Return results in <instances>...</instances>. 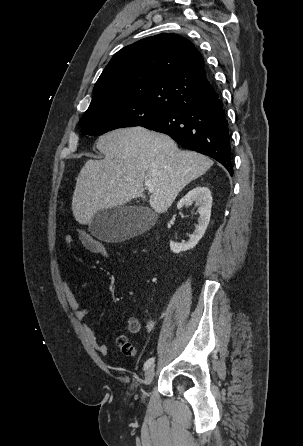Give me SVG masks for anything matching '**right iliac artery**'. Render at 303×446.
Here are the masks:
<instances>
[{"label": "right iliac artery", "instance_id": "1", "mask_svg": "<svg viewBox=\"0 0 303 446\" xmlns=\"http://www.w3.org/2000/svg\"><path fill=\"white\" fill-rule=\"evenodd\" d=\"M154 360H155L154 357L148 359V360L145 362V364H144V370L147 369V368H149V367L154 363Z\"/></svg>", "mask_w": 303, "mask_h": 446}]
</instances>
